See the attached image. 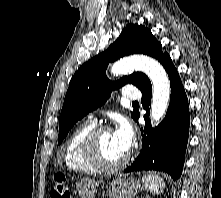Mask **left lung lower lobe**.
Instances as JSON below:
<instances>
[{
    "mask_svg": "<svg viewBox=\"0 0 221 198\" xmlns=\"http://www.w3.org/2000/svg\"><path fill=\"white\" fill-rule=\"evenodd\" d=\"M161 64L167 71L171 85L170 104L164 120L155 129L146 114L142 150L133 164L124 172L156 170L166 172L173 180L181 176L189 131L188 100L180 77L169 55ZM142 106L148 112L151 104L152 86L149 81L140 88ZM139 113L134 120L138 121Z\"/></svg>",
    "mask_w": 221,
    "mask_h": 198,
    "instance_id": "0a47b994",
    "label": "left lung lower lobe"
}]
</instances>
